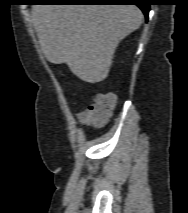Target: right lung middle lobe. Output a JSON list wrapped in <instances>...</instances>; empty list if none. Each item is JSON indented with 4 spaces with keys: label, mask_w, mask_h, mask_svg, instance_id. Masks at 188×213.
I'll list each match as a JSON object with an SVG mask.
<instances>
[{
    "label": "right lung middle lobe",
    "mask_w": 188,
    "mask_h": 213,
    "mask_svg": "<svg viewBox=\"0 0 188 213\" xmlns=\"http://www.w3.org/2000/svg\"><path fill=\"white\" fill-rule=\"evenodd\" d=\"M37 2H42V1H44V0H36Z\"/></svg>",
    "instance_id": "obj_1"
}]
</instances>
